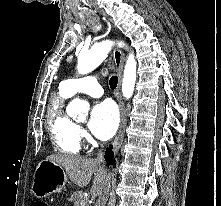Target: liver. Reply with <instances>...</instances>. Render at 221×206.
<instances>
[{
  "label": "liver",
  "mask_w": 221,
  "mask_h": 206,
  "mask_svg": "<svg viewBox=\"0 0 221 206\" xmlns=\"http://www.w3.org/2000/svg\"><path fill=\"white\" fill-rule=\"evenodd\" d=\"M47 160L63 167L70 180L79 187L86 186L94 174L91 194L93 196L101 195L109 174L104 167L96 161V159L74 155L55 154L47 157Z\"/></svg>",
  "instance_id": "obj_1"
}]
</instances>
